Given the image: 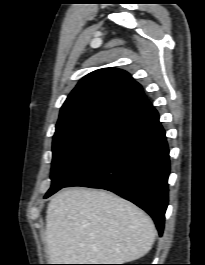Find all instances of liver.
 Listing matches in <instances>:
<instances>
[{"label":"liver","mask_w":205,"mask_h":265,"mask_svg":"<svg viewBox=\"0 0 205 265\" xmlns=\"http://www.w3.org/2000/svg\"><path fill=\"white\" fill-rule=\"evenodd\" d=\"M46 213L52 264H123L146 255L154 243L152 219L103 190H63L51 199Z\"/></svg>","instance_id":"6515ba94"}]
</instances>
